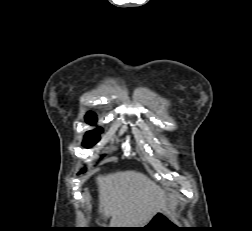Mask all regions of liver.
<instances>
[{
	"instance_id": "6515ba94",
	"label": "liver",
	"mask_w": 252,
	"mask_h": 231,
	"mask_svg": "<svg viewBox=\"0 0 252 231\" xmlns=\"http://www.w3.org/2000/svg\"><path fill=\"white\" fill-rule=\"evenodd\" d=\"M96 181L99 213L105 221L111 217V228H139L162 208L165 201V192L140 172L99 175Z\"/></svg>"
}]
</instances>
